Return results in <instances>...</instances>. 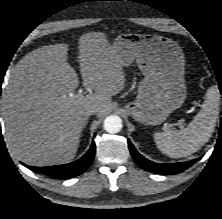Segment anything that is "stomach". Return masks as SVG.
<instances>
[{
    "instance_id": "stomach-1",
    "label": "stomach",
    "mask_w": 222,
    "mask_h": 219,
    "mask_svg": "<svg viewBox=\"0 0 222 219\" xmlns=\"http://www.w3.org/2000/svg\"><path fill=\"white\" fill-rule=\"evenodd\" d=\"M110 49L123 66L135 60L144 75L136 99L125 106L136 121L161 124L184 103L185 59L177 42L164 36L121 33Z\"/></svg>"
}]
</instances>
